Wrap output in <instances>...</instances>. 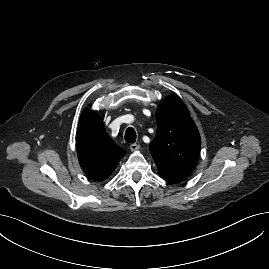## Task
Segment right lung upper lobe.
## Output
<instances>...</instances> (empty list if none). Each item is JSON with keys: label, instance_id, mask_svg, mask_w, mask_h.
<instances>
[{"label": "right lung upper lobe", "instance_id": "1", "mask_svg": "<svg viewBox=\"0 0 269 269\" xmlns=\"http://www.w3.org/2000/svg\"><path fill=\"white\" fill-rule=\"evenodd\" d=\"M76 149L81 168L94 180L107 179L126 154L108 136L98 114L87 110L79 120Z\"/></svg>", "mask_w": 269, "mask_h": 269}]
</instances>
